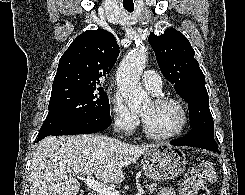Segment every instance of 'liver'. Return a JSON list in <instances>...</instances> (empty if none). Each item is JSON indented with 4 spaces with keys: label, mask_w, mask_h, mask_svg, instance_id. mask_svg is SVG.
Segmentation results:
<instances>
[{
    "label": "liver",
    "mask_w": 245,
    "mask_h": 195,
    "mask_svg": "<svg viewBox=\"0 0 245 195\" xmlns=\"http://www.w3.org/2000/svg\"><path fill=\"white\" fill-rule=\"evenodd\" d=\"M158 145H132L101 134L46 137L31 161L30 195H77L78 175L119 184L125 179L122 168Z\"/></svg>",
    "instance_id": "liver-1"
}]
</instances>
